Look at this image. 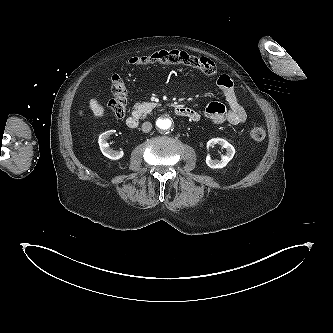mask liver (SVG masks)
Here are the masks:
<instances>
[{
	"mask_svg": "<svg viewBox=\"0 0 333 333\" xmlns=\"http://www.w3.org/2000/svg\"><path fill=\"white\" fill-rule=\"evenodd\" d=\"M89 107L92 110L94 117L98 118L104 116L105 109L95 98H92L89 101Z\"/></svg>",
	"mask_w": 333,
	"mask_h": 333,
	"instance_id": "6515ba94",
	"label": "liver"
}]
</instances>
